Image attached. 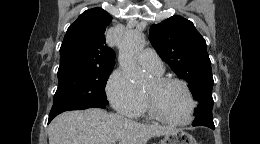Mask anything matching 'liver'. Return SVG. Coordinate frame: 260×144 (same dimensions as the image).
<instances>
[{"instance_id": "6515ba94", "label": "liver", "mask_w": 260, "mask_h": 144, "mask_svg": "<svg viewBox=\"0 0 260 144\" xmlns=\"http://www.w3.org/2000/svg\"><path fill=\"white\" fill-rule=\"evenodd\" d=\"M175 130L92 108L60 114L50 123L48 136L49 144H146L152 137Z\"/></svg>"}]
</instances>
